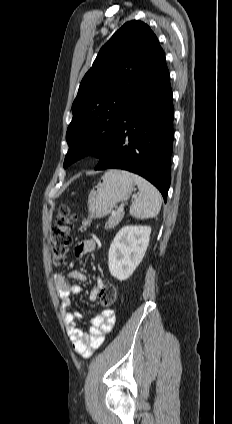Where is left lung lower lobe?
<instances>
[{
    "label": "left lung lower lobe",
    "mask_w": 232,
    "mask_h": 424,
    "mask_svg": "<svg viewBox=\"0 0 232 424\" xmlns=\"http://www.w3.org/2000/svg\"><path fill=\"white\" fill-rule=\"evenodd\" d=\"M173 114L164 57L127 105L95 170L117 168L139 174L158 188L166 202L171 182Z\"/></svg>",
    "instance_id": "obj_1"
}]
</instances>
